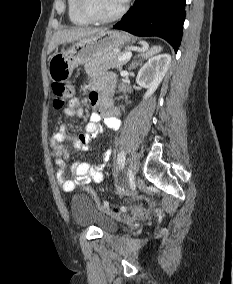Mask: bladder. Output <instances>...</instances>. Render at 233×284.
<instances>
[{
    "label": "bladder",
    "mask_w": 233,
    "mask_h": 284,
    "mask_svg": "<svg viewBox=\"0 0 233 284\" xmlns=\"http://www.w3.org/2000/svg\"><path fill=\"white\" fill-rule=\"evenodd\" d=\"M70 213L75 224L80 227L94 226L103 233H111L117 229V223L99 211L94 201L86 194L72 196Z\"/></svg>",
    "instance_id": "1"
}]
</instances>
